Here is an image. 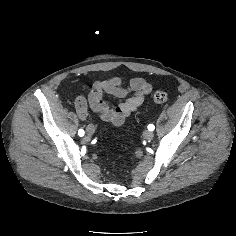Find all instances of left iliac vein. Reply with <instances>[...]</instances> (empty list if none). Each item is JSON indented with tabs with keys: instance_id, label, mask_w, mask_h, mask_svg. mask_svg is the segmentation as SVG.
I'll return each mask as SVG.
<instances>
[{
	"instance_id": "4c4485c4",
	"label": "left iliac vein",
	"mask_w": 236,
	"mask_h": 236,
	"mask_svg": "<svg viewBox=\"0 0 236 236\" xmlns=\"http://www.w3.org/2000/svg\"><path fill=\"white\" fill-rule=\"evenodd\" d=\"M143 137L146 140H151V139H153L154 134H153V132L146 130L143 132Z\"/></svg>"
}]
</instances>
